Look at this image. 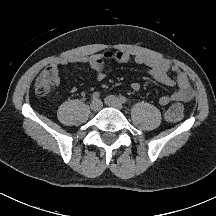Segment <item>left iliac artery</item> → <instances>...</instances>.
<instances>
[{"label":"left iliac artery","instance_id":"left-iliac-artery-1","mask_svg":"<svg viewBox=\"0 0 216 216\" xmlns=\"http://www.w3.org/2000/svg\"><path fill=\"white\" fill-rule=\"evenodd\" d=\"M120 101H121L122 103H126V102H127V98L124 97V96H120Z\"/></svg>","mask_w":216,"mask_h":216}]
</instances>
